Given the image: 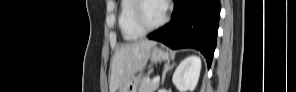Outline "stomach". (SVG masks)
Masks as SVG:
<instances>
[{"mask_svg":"<svg viewBox=\"0 0 296 92\" xmlns=\"http://www.w3.org/2000/svg\"><path fill=\"white\" fill-rule=\"evenodd\" d=\"M169 59V53L158 47H153L150 53L151 63H161ZM142 75L132 76L120 89L119 92H138Z\"/></svg>","mask_w":296,"mask_h":92,"instance_id":"stomach-1","label":"stomach"}]
</instances>
